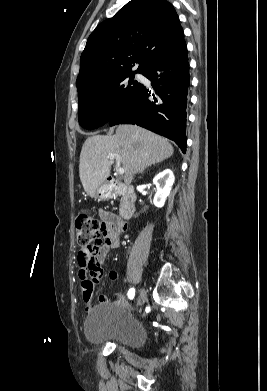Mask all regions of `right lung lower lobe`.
I'll return each mask as SVG.
<instances>
[{
  "label": "right lung lower lobe",
  "mask_w": 267,
  "mask_h": 391,
  "mask_svg": "<svg viewBox=\"0 0 267 391\" xmlns=\"http://www.w3.org/2000/svg\"><path fill=\"white\" fill-rule=\"evenodd\" d=\"M156 96L144 85L117 110L108 123L137 124L173 140L186 151V107L190 85L187 46L151 62L142 72Z\"/></svg>",
  "instance_id": "98d812e1"
}]
</instances>
